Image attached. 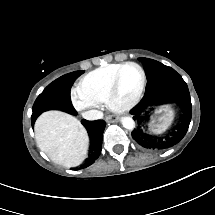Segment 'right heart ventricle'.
<instances>
[{"instance_id":"right-heart-ventricle-1","label":"right heart ventricle","mask_w":215,"mask_h":215,"mask_svg":"<svg viewBox=\"0 0 215 215\" xmlns=\"http://www.w3.org/2000/svg\"><path fill=\"white\" fill-rule=\"evenodd\" d=\"M119 64H108L83 77L81 89L84 98L91 104L104 102L115 80L114 70Z\"/></svg>"}]
</instances>
